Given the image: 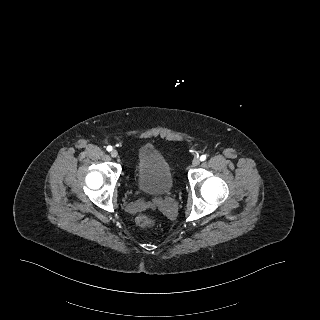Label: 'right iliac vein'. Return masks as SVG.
<instances>
[{
  "label": "right iliac vein",
  "mask_w": 320,
  "mask_h": 320,
  "mask_svg": "<svg viewBox=\"0 0 320 320\" xmlns=\"http://www.w3.org/2000/svg\"><path fill=\"white\" fill-rule=\"evenodd\" d=\"M111 156H112L113 158L117 157V156H118V152H117L116 150H113V151L111 152Z\"/></svg>",
  "instance_id": "63e3f726"
}]
</instances>
